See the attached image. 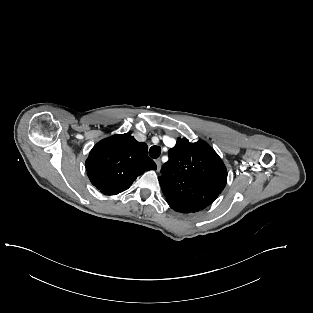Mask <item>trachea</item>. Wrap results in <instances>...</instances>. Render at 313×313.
<instances>
[{
    "instance_id": "1",
    "label": "trachea",
    "mask_w": 313,
    "mask_h": 313,
    "mask_svg": "<svg viewBox=\"0 0 313 313\" xmlns=\"http://www.w3.org/2000/svg\"><path fill=\"white\" fill-rule=\"evenodd\" d=\"M161 154V148L159 146H152L149 149V155L151 158L156 159L160 156Z\"/></svg>"
}]
</instances>
